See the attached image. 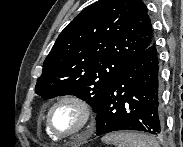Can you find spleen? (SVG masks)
Masks as SVG:
<instances>
[{
  "label": "spleen",
  "mask_w": 183,
  "mask_h": 147,
  "mask_svg": "<svg viewBox=\"0 0 183 147\" xmlns=\"http://www.w3.org/2000/svg\"><path fill=\"white\" fill-rule=\"evenodd\" d=\"M103 141L116 147H159L154 138L136 132H114L104 136Z\"/></svg>",
  "instance_id": "spleen-1"
}]
</instances>
